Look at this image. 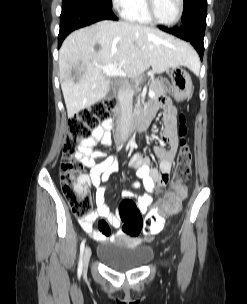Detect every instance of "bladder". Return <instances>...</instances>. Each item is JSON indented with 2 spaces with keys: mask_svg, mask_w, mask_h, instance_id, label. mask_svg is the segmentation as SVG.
<instances>
[{
  "mask_svg": "<svg viewBox=\"0 0 247 304\" xmlns=\"http://www.w3.org/2000/svg\"><path fill=\"white\" fill-rule=\"evenodd\" d=\"M97 257L106 267L127 272L147 265L153 257V249L129 239L107 240L98 247Z\"/></svg>",
  "mask_w": 247,
  "mask_h": 304,
  "instance_id": "31cf9c89",
  "label": "bladder"
}]
</instances>
